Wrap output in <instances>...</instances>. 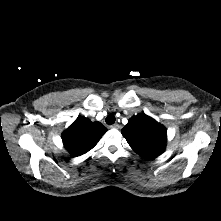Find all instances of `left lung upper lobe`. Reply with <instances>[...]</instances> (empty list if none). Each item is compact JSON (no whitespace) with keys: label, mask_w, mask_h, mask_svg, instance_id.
<instances>
[{"label":"left lung upper lobe","mask_w":221,"mask_h":221,"mask_svg":"<svg viewBox=\"0 0 221 221\" xmlns=\"http://www.w3.org/2000/svg\"><path fill=\"white\" fill-rule=\"evenodd\" d=\"M121 133L131 148L144 159L153 160L165 150V127L146 114L130 118Z\"/></svg>","instance_id":"obj_1"}]
</instances>
